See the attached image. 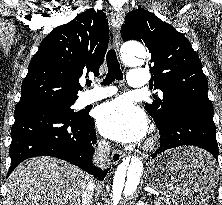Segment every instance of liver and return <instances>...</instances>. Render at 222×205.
<instances>
[{"mask_svg":"<svg viewBox=\"0 0 222 205\" xmlns=\"http://www.w3.org/2000/svg\"><path fill=\"white\" fill-rule=\"evenodd\" d=\"M90 181L87 173L67 162L33 157L9 176L5 205H81Z\"/></svg>","mask_w":222,"mask_h":205,"instance_id":"obj_1","label":"liver"}]
</instances>
